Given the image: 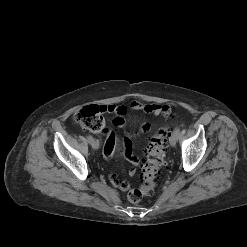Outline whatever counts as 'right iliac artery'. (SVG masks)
<instances>
[{
	"label": "right iliac artery",
	"instance_id": "right-iliac-artery-1",
	"mask_svg": "<svg viewBox=\"0 0 247 247\" xmlns=\"http://www.w3.org/2000/svg\"><path fill=\"white\" fill-rule=\"evenodd\" d=\"M87 140H88V142H91V141L93 140V137L90 136V135H88V136H87Z\"/></svg>",
	"mask_w": 247,
	"mask_h": 247
}]
</instances>
